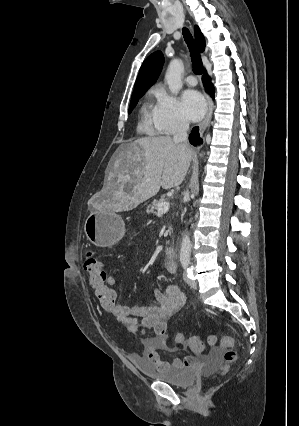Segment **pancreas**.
Returning <instances> with one entry per match:
<instances>
[{
  "label": "pancreas",
  "instance_id": "pancreas-1",
  "mask_svg": "<svg viewBox=\"0 0 299 426\" xmlns=\"http://www.w3.org/2000/svg\"><path fill=\"white\" fill-rule=\"evenodd\" d=\"M165 202H167V199L164 198V197L160 198L159 200H154L152 202V204L150 205V208L147 209V213H149V214H156V211L158 209V205L160 203H165Z\"/></svg>",
  "mask_w": 299,
  "mask_h": 426
}]
</instances>
